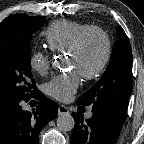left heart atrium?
Masks as SVG:
<instances>
[{
  "label": "left heart atrium",
  "mask_w": 144,
  "mask_h": 144,
  "mask_svg": "<svg viewBox=\"0 0 144 144\" xmlns=\"http://www.w3.org/2000/svg\"><path fill=\"white\" fill-rule=\"evenodd\" d=\"M79 86V75L76 71L54 77L46 86L49 96L59 101H68Z\"/></svg>",
  "instance_id": "left-heart-atrium-1"
}]
</instances>
